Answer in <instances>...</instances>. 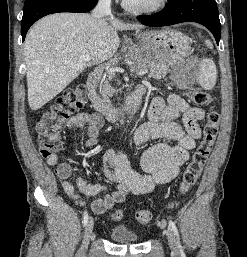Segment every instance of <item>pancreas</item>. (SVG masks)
<instances>
[{"label":"pancreas","mask_w":247,"mask_h":257,"mask_svg":"<svg viewBox=\"0 0 247 257\" xmlns=\"http://www.w3.org/2000/svg\"><path fill=\"white\" fill-rule=\"evenodd\" d=\"M133 61H134V69L136 71H141L146 68H149L150 69L149 77H152L157 80L164 78L168 72V66L165 63L153 62L149 65H146L137 58H134ZM113 78H114V75L110 74L108 76V79H106L100 85V94L103 98V102H105L106 104H110L109 97H111L112 94L115 92V89L111 87V85L109 84V81H111ZM116 92H118V90Z\"/></svg>","instance_id":"pancreas-1"}]
</instances>
